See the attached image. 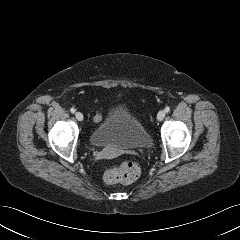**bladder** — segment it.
Returning <instances> with one entry per match:
<instances>
[{"instance_id":"bladder-1","label":"bladder","mask_w":240,"mask_h":240,"mask_svg":"<svg viewBox=\"0 0 240 240\" xmlns=\"http://www.w3.org/2000/svg\"><path fill=\"white\" fill-rule=\"evenodd\" d=\"M89 141L95 147L132 150L148 148L152 138L137 117L126 107L117 106L91 132Z\"/></svg>"}]
</instances>
